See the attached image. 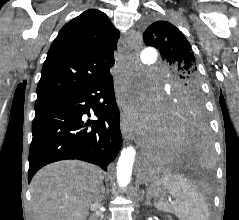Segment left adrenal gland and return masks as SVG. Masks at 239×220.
<instances>
[{"label": "left adrenal gland", "mask_w": 239, "mask_h": 220, "mask_svg": "<svg viewBox=\"0 0 239 220\" xmlns=\"http://www.w3.org/2000/svg\"><path fill=\"white\" fill-rule=\"evenodd\" d=\"M145 205H150V206L152 205L148 196H147V199L145 201Z\"/></svg>", "instance_id": "a2214340"}]
</instances>
